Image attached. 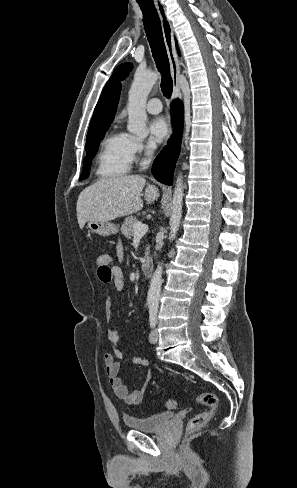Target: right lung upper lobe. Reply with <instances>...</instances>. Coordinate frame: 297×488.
I'll return each instance as SVG.
<instances>
[{
  "mask_svg": "<svg viewBox=\"0 0 297 488\" xmlns=\"http://www.w3.org/2000/svg\"><path fill=\"white\" fill-rule=\"evenodd\" d=\"M121 84L110 89L97 103L88 129V134L95 128L111 123L114 119L120 98ZM87 134V135H88Z\"/></svg>",
  "mask_w": 297,
  "mask_h": 488,
  "instance_id": "1",
  "label": "right lung upper lobe"
}]
</instances>
